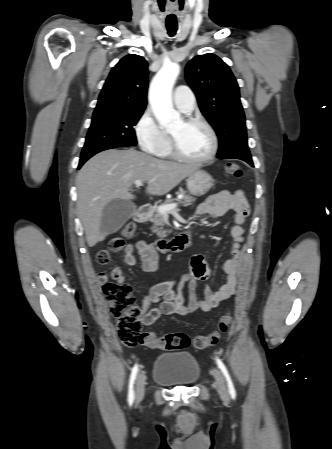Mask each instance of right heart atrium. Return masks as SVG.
<instances>
[{
	"instance_id": "obj_1",
	"label": "right heart atrium",
	"mask_w": 332,
	"mask_h": 449,
	"mask_svg": "<svg viewBox=\"0 0 332 449\" xmlns=\"http://www.w3.org/2000/svg\"><path fill=\"white\" fill-rule=\"evenodd\" d=\"M136 136L143 151L160 155L169 146L168 135L159 127L150 111H145L135 126Z\"/></svg>"
}]
</instances>
